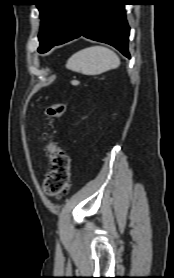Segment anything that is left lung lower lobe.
Listing matches in <instances>:
<instances>
[{
    "mask_svg": "<svg viewBox=\"0 0 174 278\" xmlns=\"http://www.w3.org/2000/svg\"><path fill=\"white\" fill-rule=\"evenodd\" d=\"M126 4V0H77L63 34L55 45L85 36L110 44L130 58V29L124 10Z\"/></svg>",
    "mask_w": 174,
    "mask_h": 278,
    "instance_id": "obj_1",
    "label": "left lung lower lobe"
}]
</instances>
